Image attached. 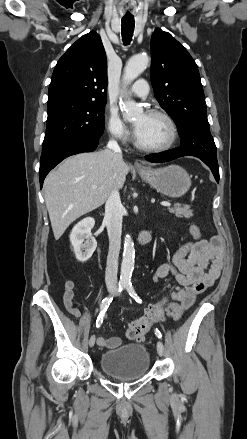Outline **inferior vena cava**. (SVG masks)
I'll list each match as a JSON object with an SVG mask.
<instances>
[{"instance_id": "inferior-vena-cava-1", "label": "inferior vena cava", "mask_w": 247, "mask_h": 439, "mask_svg": "<svg viewBox=\"0 0 247 439\" xmlns=\"http://www.w3.org/2000/svg\"><path fill=\"white\" fill-rule=\"evenodd\" d=\"M107 148L115 153L117 159L122 158V152L115 140H110ZM123 206L118 189L113 188L105 204L104 221L109 237V251L105 272V282L108 289L117 288L118 258L121 246Z\"/></svg>"}]
</instances>
